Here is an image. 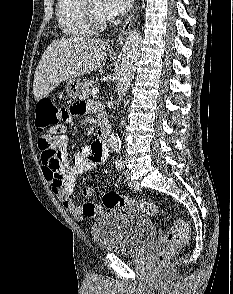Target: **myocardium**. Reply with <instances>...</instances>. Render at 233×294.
<instances>
[{
  "mask_svg": "<svg viewBox=\"0 0 233 294\" xmlns=\"http://www.w3.org/2000/svg\"><path fill=\"white\" fill-rule=\"evenodd\" d=\"M86 15L88 22L94 31L103 30L110 23V20L106 16L96 13L88 3H86Z\"/></svg>",
  "mask_w": 233,
  "mask_h": 294,
  "instance_id": "1",
  "label": "myocardium"
}]
</instances>
